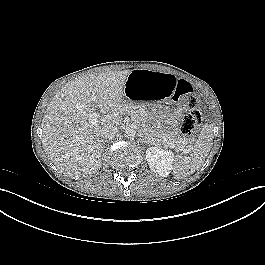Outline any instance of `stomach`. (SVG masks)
Segmentation results:
<instances>
[{"label": "stomach", "mask_w": 265, "mask_h": 265, "mask_svg": "<svg viewBox=\"0 0 265 265\" xmlns=\"http://www.w3.org/2000/svg\"><path fill=\"white\" fill-rule=\"evenodd\" d=\"M176 78L154 70L135 69L128 75L124 96L141 101L139 122L151 136L161 137L170 132L174 124L171 97Z\"/></svg>", "instance_id": "obj_1"}]
</instances>
